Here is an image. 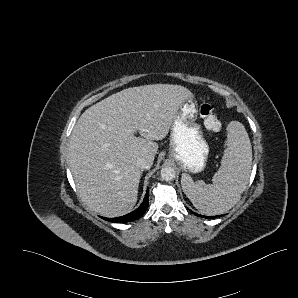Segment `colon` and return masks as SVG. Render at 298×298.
Segmentation results:
<instances>
[{
    "mask_svg": "<svg viewBox=\"0 0 298 298\" xmlns=\"http://www.w3.org/2000/svg\"><path fill=\"white\" fill-rule=\"evenodd\" d=\"M200 116L208 130L219 131L222 128V121L216 114L214 106L207 98L202 100Z\"/></svg>",
    "mask_w": 298,
    "mask_h": 298,
    "instance_id": "obj_1",
    "label": "colon"
}]
</instances>
